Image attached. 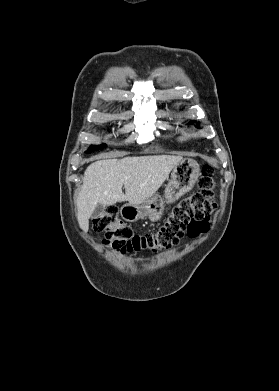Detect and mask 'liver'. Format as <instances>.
I'll return each instance as SVG.
<instances>
[{"mask_svg":"<svg viewBox=\"0 0 279 391\" xmlns=\"http://www.w3.org/2000/svg\"><path fill=\"white\" fill-rule=\"evenodd\" d=\"M182 159V156L156 155L103 159L90 164L76 201L80 228L88 231L89 219L98 204L114 205L122 201L142 204L157 192Z\"/></svg>","mask_w":279,"mask_h":391,"instance_id":"obj_1","label":"liver"}]
</instances>
